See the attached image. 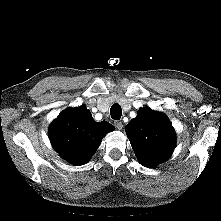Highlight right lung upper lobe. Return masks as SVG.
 <instances>
[{"mask_svg": "<svg viewBox=\"0 0 221 221\" xmlns=\"http://www.w3.org/2000/svg\"><path fill=\"white\" fill-rule=\"evenodd\" d=\"M113 130L114 126L107 121L95 122L82 105L60 113L50 125L49 136L63 159L80 165L91 158L105 134Z\"/></svg>", "mask_w": 221, "mask_h": 221, "instance_id": "obj_1", "label": "right lung upper lobe"}]
</instances>
